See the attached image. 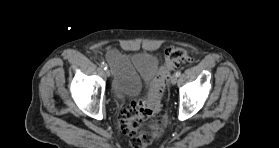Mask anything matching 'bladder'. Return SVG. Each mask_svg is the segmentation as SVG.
Returning <instances> with one entry per match:
<instances>
[{"label":"bladder","mask_w":279,"mask_h":148,"mask_svg":"<svg viewBox=\"0 0 279 148\" xmlns=\"http://www.w3.org/2000/svg\"><path fill=\"white\" fill-rule=\"evenodd\" d=\"M127 62L137 70L147 83L157 70L158 59L151 53L135 54L126 58Z\"/></svg>","instance_id":"obj_1"}]
</instances>
